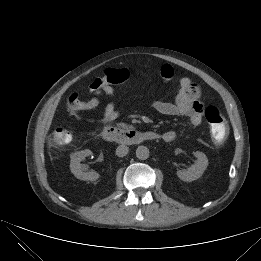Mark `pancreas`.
Instances as JSON below:
<instances>
[{"label":"pancreas","instance_id":"obj_1","mask_svg":"<svg viewBox=\"0 0 261 261\" xmlns=\"http://www.w3.org/2000/svg\"><path fill=\"white\" fill-rule=\"evenodd\" d=\"M117 126L121 127V128H127V125L125 123H118Z\"/></svg>","mask_w":261,"mask_h":261}]
</instances>
